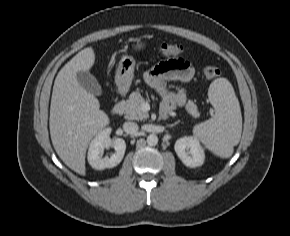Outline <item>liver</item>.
Listing matches in <instances>:
<instances>
[{
    "instance_id": "6515ba94",
    "label": "liver",
    "mask_w": 290,
    "mask_h": 236,
    "mask_svg": "<svg viewBox=\"0 0 290 236\" xmlns=\"http://www.w3.org/2000/svg\"><path fill=\"white\" fill-rule=\"evenodd\" d=\"M94 63L92 47L81 50L67 62L55 78L50 105L53 147L70 169L83 176L89 142L110 122L108 115L100 110L98 99L77 81V73L87 72Z\"/></svg>"
}]
</instances>
